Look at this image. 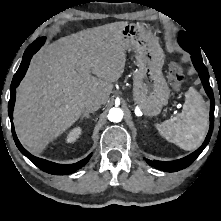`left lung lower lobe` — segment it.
<instances>
[{
	"mask_svg": "<svg viewBox=\"0 0 221 221\" xmlns=\"http://www.w3.org/2000/svg\"><path fill=\"white\" fill-rule=\"evenodd\" d=\"M191 58H192V62L194 64L196 70L199 73L203 87H204L207 95L210 98V129H209L208 135H207L204 143L202 144V146L199 149H197L195 152H193L192 154H190L182 159H179L176 161H171V162H164V161H157V160H155L153 162L151 160H147V162L151 166H153L159 170H163V171H167V172H176V171H179V170L184 169V168L188 167L189 165H191L193 163V161L200 155V153L207 146V144L210 140L211 134H212V130H213L215 102H214L212 88L210 87V84H209V73L207 71V68L203 64L202 57H198L196 55L191 54Z\"/></svg>",
	"mask_w": 221,
	"mask_h": 221,
	"instance_id": "0a47b994",
	"label": "left lung lower lobe"
}]
</instances>
